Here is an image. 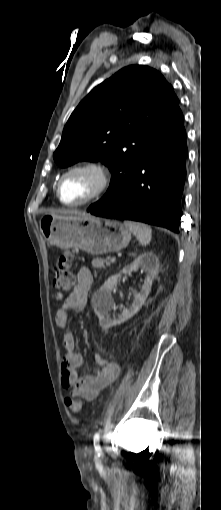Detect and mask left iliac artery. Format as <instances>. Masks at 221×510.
I'll return each mask as SVG.
<instances>
[{"mask_svg":"<svg viewBox=\"0 0 221 510\" xmlns=\"http://www.w3.org/2000/svg\"><path fill=\"white\" fill-rule=\"evenodd\" d=\"M93 439H94V447H95V450H96L97 452H99V451L101 450V448H100V445H99L100 435H99V433H98V432H97V433H95V435H94V438H93Z\"/></svg>","mask_w":221,"mask_h":510,"instance_id":"left-iliac-artery-1","label":"left iliac artery"}]
</instances>
